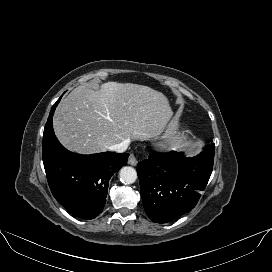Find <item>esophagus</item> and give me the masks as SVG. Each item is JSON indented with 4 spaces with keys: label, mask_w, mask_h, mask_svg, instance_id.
I'll use <instances>...</instances> for the list:
<instances>
[{
    "label": "esophagus",
    "mask_w": 272,
    "mask_h": 272,
    "mask_svg": "<svg viewBox=\"0 0 272 272\" xmlns=\"http://www.w3.org/2000/svg\"><path fill=\"white\" fill-rule=\"evenodd\" d=\"M137 158L135 157L134 154H130L129 159H128V164L135 166L137 164Z\"/></svg>",
    "instance_id": "34e87169"
}]
</instances>
